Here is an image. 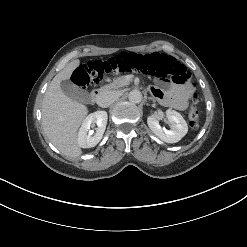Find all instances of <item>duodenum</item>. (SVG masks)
I'll return each mask as SVG.
<instances>
[{
    "mask_svg": "<svg viewBox=\"0 0 247 247\" xmlns=\"http://www.w3.org/2000/svg\"><path fill=\"white\" fill-rule=\"evenodd\" d=\"M101 95H102V89L101 88L94 89L91 93V102L93 104H97L100 100Z\"/></svg>",
    "mask_w": 247,
    "mask_h": 247,
    "instance_id": "1",
    "label": "duodenum"
}]
</instances>
